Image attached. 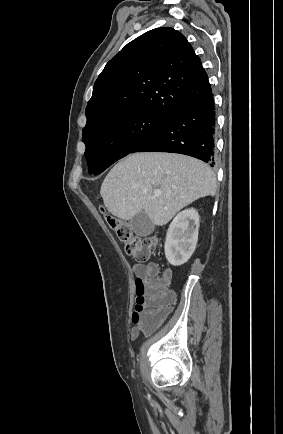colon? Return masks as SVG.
<instances>
[{"label": "colon", "mask_w": 283, "mask_h": 434, "mask_svg": "<svg viewBox=\"0 0 283 434\" xmlns=\"http://www.w3.org/2000/svg\"><path fill=\"white\" fill-rule=\"evenodd\" d=\"M105 220L124 245L128 255L138 262L149 260L156 247L154 237L135 234L126 222L110 214H105ZM168 279V273H164L160 277L136 279V303L132 322L143 333H151L156 330L164 322L171 309L174 295L168 289Z\"/></svg>", "instance_id": "obj_1"}]
</instances>
